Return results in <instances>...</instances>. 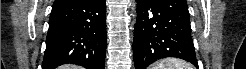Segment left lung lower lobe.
Listing matches in <instances>:
<instances>
[{"label":"left lung lower lobe","instance_id":"obj_1","mask_svg":"<svg viewBox=\"0 0 246 69\" xmlns=\"http://www.w3.org/2000/svg\"><path fill=\"white\" fill-rule=\"evenodd\" d=\"M133 54L135 69H146L153 62L177 57L198 67L190 21L181 19L155 0H137Z\"/></svg>","mask_w":246,"mask_h":69}]
</instances>
